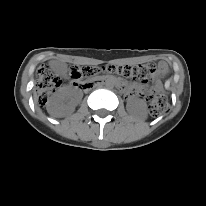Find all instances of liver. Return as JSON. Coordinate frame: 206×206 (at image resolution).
Instances as JSON below:
<instances>
[{"mask_svg": "<svg viewBox=\"0 0 206 206\" xmlns=\"http://www.w3.org/2000/svg\"><path fill=\"white\" fill-rule=\"evenodd\" d=\"M34 101L35 103H37V97L36 95H34ZM49 113L53 116V117H56V118H61V117H64L66 115V112H55V111H51L50 109H48Z\"/></svg>", "mask_w": 206, "mask_h": 206, "instance_id": "1", "label": "liver"}]
</instances>
